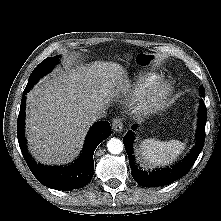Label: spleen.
Instances as JSON below:
<instances>
[{"mask_svg": "<svg viewBox=\"0 0 221 221\" xmlns=\"http://www.w3.org/2000/svg\"><path fill=\"white\" fill-rule=\"evenodd\" d=\"M185 143L179 140L160 141L145 139L141 142L138 154L144 162L153 166L171 164L185 149Z\"/></svg>", "mask_w": 221, "mask_h": 221, "instance_id": "obj_1", "label": "spleen"}]
</instances>
